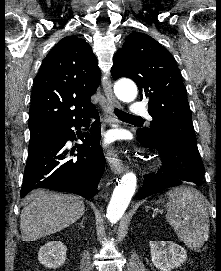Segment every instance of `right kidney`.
Segmentation results:
<instances>
[{"instance_id": "right-kidney-1", "label": "right kidney", "mask_w": 221, "mask_h": 271, "mask_svg": "<svg viewBox=\"0 0 221 271\" xmlns=\"http://www.w3.org/2000/svg\"><path fill=\"white\" fill-rule=\"evenodd\" d=\"M67 247L62 241H47L38 251V261L45 267H60L66 261Z\"/></svg>"}]
</instances>
